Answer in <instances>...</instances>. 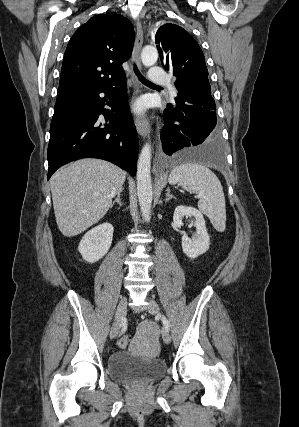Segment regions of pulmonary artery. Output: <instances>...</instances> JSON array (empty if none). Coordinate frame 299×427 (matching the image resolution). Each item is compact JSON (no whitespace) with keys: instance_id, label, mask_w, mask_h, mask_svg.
<instances>
[{"instance_id":"obj_1","label":"pulmonary artery","mask_w":299,"mask_h":427,"mask_svg":"<svg viewBox=\"0 0 299 427\" xmlns=\"http://www.w3.org/2000/svg\"><path fill=\"white\" fill-rule=\"evenodd\" d=\"M149 79L156 83L161 84H167L170 86V94L172 96H175L176 91L175 89L170 85V81L168 76L166 75L165 71L159 67V66H153L151 67L149 73H148Z\"/></svg>"}]
</instances>
